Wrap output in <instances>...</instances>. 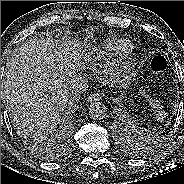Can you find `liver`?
Segmentation results:
<instances>
[{"mask_svg": "<svg viewBox=\"0 0 184 184\" xmlns=\"http://www.w3.org/2000/svg\"><path fill=\"white\" fill-rule=\"evenodd\" d=\"M73 72L71 61L48 38L24 43L6 64L4 98L14 119L36 139L45 140L59 124Z\"/></svg>", "mask_w": 184, "mask_h": 184, "instance_id": "1", "label": "liver"}]
</instances>
